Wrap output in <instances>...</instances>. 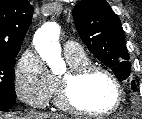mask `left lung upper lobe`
<instances>
[{
	"instance_id": "5c2ea615",
	"label": "left lung upper lobe",
	"mask_w": 142,
	"mask_h": 119,
	"mask_svg": "<svg viewBox=\"0 0 142 119\" xmlns=\"http://www.w3.org/2000/svg\"><path fill=\"white\" fill-rule=\"evenodd\" d=\"M77 31L88 49L116 77L126 80L131 73L129 53L118 16L105 0H81L73 9ZM132 89L137 87L132 82Z\"/></svg>"
}]
</instances>
